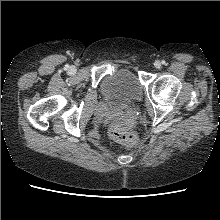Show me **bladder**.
Wrapping results in <instances>:
<instances>
[{"mask_svg":"<svg viewBox=\"0 0 220 220\" xmlns=\"http://www.w3.org/2000/svg\"><path fill=\"white\" fill-rule=\"evenodd\" d=\"M102 92L117 110H124L142 96V86L135 75L126 69L113 72L105 77Z\"/></svg>","mask_w":220,"mask_h":220,"instance_id":"31cf9c89","label":"bladder"}]
</instances>
